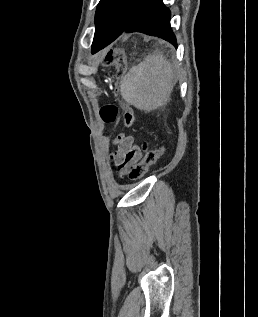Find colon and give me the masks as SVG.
Instances as JSON below:
<instances>
[{"label": "colon", "instance_id": "1", "mask_svg": "<svg viewBox=\"0 0 258 317\" xmlns=\"http://www.w3.org/2000/svg\"><path fill=\"white\" fill-rule=\"evenodd\" d=\"M101 62L104 65H111L113 62V57L110 53H107L101 57ZM124 75L123 68L119 71L117 77L116 88L118 89L121 85L122 79ZM120 114L119 107L114 104H107L102 107L101 109V117L102 119L107 122L111 123L118 119ZM122 122L126 127H131L135 122V113L132 109H127L122 117ZM165 148L163 145H159L154 149L147 151L143 157V159L136 163L130 170H129V177L132 180H138L142 178L164 154Z\"/></svg>", "mask_w": 258, "mask_h": 317}]
</instances>
